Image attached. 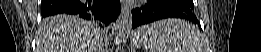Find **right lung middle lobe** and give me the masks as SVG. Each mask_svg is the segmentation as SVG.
<instances>
[{"mask_svg": "<svg viewBox=\"0 0 261 52\" xmlns=\"http://www.w3.org/2000/svg\"><path fill=\"white\" fill-rule=\"evenodd\" d=\"M77 17H79V16H77ZM84 19L90 20L91 22H93L99 28L102 27L97 21H95V20H93L91 18H84Z\"/></svg>", "mask_w": 261, "mask_h": 52, "instance_id": "obj_1", "label": "right lung middle lobe"}]
</instances>
